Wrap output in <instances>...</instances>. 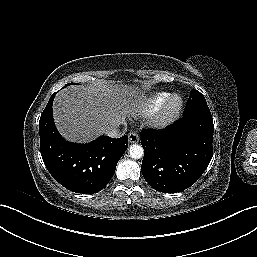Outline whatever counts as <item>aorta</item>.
Instances as JSON below:
<instances>
[{
    "instance_id": "aorta-1",
    "label": "aorta",
    "mask_w": 257,
    "mask_h": 257,
    "mask_svg": "<svg viewBox=\"0 0 257 257\" xmlns=\"http://www.w3.org/2000/svg\"><path fill=\"white\" fill-rule=\"evenodd\" d=\"M129 154L131 158L140 159L144 154L143 147L138 144H133L129 148Z\"/></svg>"
}]
</instances>
